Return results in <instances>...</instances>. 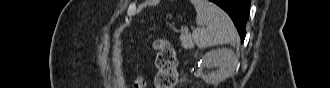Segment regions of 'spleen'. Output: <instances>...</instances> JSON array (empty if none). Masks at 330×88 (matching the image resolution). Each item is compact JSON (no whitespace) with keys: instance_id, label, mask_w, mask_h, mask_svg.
Returning a JSON list of instances; mask_svg holds the SVG:
<instances>
[{"instance_id":"3e777b00","label":"spleen","mask_w":330,"mask_h":88,"mask_svg":"<svg viewBox=\"0 0 330 88\" xmlns=\"http://www.w3.org/2000/svg\"><path fill=\"white\" fill-rule=\"evenodd\" d=\"M194 5L198 27L193 31L195 44L203 49L216 45H235L238 41L236 28L230 17L208 0H191Z\"/></svg>"}]
</instances>
